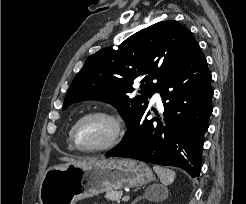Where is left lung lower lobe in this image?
<instances>
[{"label":"left lung lower lobe","mask_w":246,"mask_h":204,"mask_svg":"<svg viewBox=\"0 0 246 204\" xmlns=\"http://www.w3.org/2000/svg\"><path fill=\"white\" fill-rule=\"evenodd\" d=\"M164 112L147 120V108L130 124L121 143L107 157L134 158L200 174L204 134L212 113L211 73L199 44L156 89Z\"/></svg>","instance_id":"1"}]
</instances>
